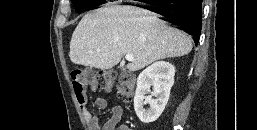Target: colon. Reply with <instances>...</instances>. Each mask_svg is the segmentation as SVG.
Here are the masks:
<instances>
[{
	"label": "colon",
	"instance_id": "obj_1",
	"mask_svg": "<svg viewBox=\"0 0 257 130\" xmlns=\"http://www.w3.org/2000/svg\"><path fill=\"white\" fill-rule=\"evenodd\" d=\"M117 80V95L124 100H132L135 92L136 80L131 72L121 73L119 76L113 70L96 72L88 68H77L71 72V82L77 100H84L87 87L92 89L111 90Z\"/></svg>",
	"mask_w": 257,
	"mask_h": 130
}]
</instances>
